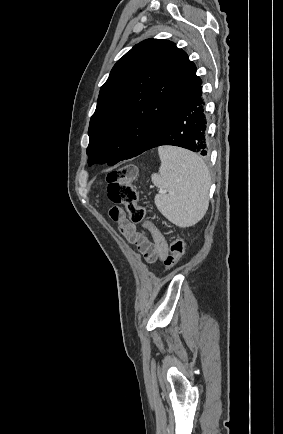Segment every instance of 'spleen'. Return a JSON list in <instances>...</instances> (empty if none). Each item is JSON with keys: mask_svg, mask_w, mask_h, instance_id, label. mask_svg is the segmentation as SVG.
Masks as SVG:
<instances>
[{"mask_svg": "<svg viewBox=\"0 0 283 434\" xmlns=\"http://www.w3.org/2000/svg\"><path fill=\"white\" fill-rule=\"evenodd\" d=\"M161 166L151 180L160 191L157 209L173 224L186 228L198 223L209 206L211 178L204 161L177 147H159Z\"/></svg>", "mask_w": 283, "mask_h": 434, "instance_id": "3e777b00", "label": "spleen"}]
</instances>
